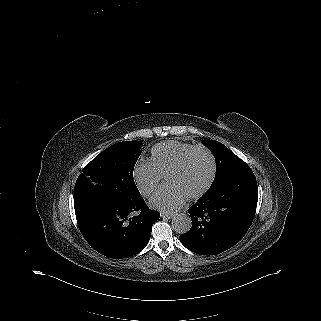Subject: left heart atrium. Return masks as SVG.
<instances>
[{"instance_id": "39dd6f15", "label": "left heart atrium", "mask_w": 321, "mask_h": 321, "mask_svg": "<svg viewBox=\"0 0 321 321\" xmlns=\"http://www.w3.org/2000/svg\"><path fill=\"white\" fill-rule=\"evenodd\" d=\"M184 202V194L176 191L163 190L158 192L151 200L154 208L172 212L181 207Z\"/></svg>"}]
</instances>
